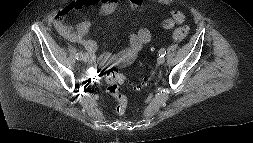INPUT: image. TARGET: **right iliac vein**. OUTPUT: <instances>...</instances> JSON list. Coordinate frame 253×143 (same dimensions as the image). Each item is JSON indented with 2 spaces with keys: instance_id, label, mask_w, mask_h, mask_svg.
Listing matches in <instances>:
<instances>
[{
  "instance_id": "1",
  "label": "right iliac vein",
  "mask_w": 253,
  "mask_h": 143,
  "mask_svg": "<svg viewBox=\"0 0 253 143\" xmlns=\"http://www.w3.org/2000/svg\"><path fill=\"white\" fill-rule=\"evenodd\" d=\"M89 60H90L89 54H88V53H85V54L83 55V61H84V62H88Z\"/></svg>"
}]
</instances>
